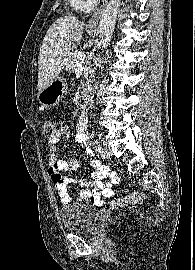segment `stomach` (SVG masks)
<instances>
[{
	"label": "stomach",
	"mask_w": 195,
	"mask_h": 270,
	"mask_svg": "<svg viewBox=\"0 0 195 270\" xmlns=\"http://www.w3.org/2000/svg\"><path fill=\"white\" fill-rule=\"evenodd\" d=\"M67 83L63 77H58L38 93L37 99L45 107L56 105L66 94Z\"/></svg>",
	"instance_id": "stomach-1"
}]
</instances>
